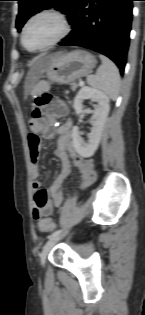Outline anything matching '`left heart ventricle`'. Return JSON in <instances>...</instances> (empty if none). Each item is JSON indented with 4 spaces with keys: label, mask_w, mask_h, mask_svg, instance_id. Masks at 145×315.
I'll use <instances>...</instances> for the list:
<instances>
[{
    "label": "left heart ventricle",
    "mask_w": 145,
    "mask_h": 315,
    "mask_svg": "<svg viewBox=\"0 0 145 315\" xmlns=\"http://www.w3.org/2000/svg\"><path fill=\"white\" fill-rule=\"evenodd\" d=\"M58 22L51 17H39L33 20L25 33L26 45L30 48L40 47L52 40L59 33Z\"/></svg>",
    "instance_id": "obj_1"
}]
</instances>
